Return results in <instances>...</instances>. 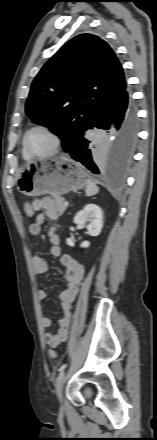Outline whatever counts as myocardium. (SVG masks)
Masks as SVG:
<instances>
[{"mask_svg": "<svg viewBox=\"0 0 157 440\" xmlns=\"http://www.w3.org/2000/svg\"><path fill=\"white\" fill-rule=\"evenodd\" d=\"M35 130H42L44 132H46L53 140V146L51 148V150L46 153V154H40V155H36V154H32L27 146V139L28 136L31 132L35 131ZM23 149L24 151L30 156V157H45V156H50L53 155L55 153H57L59 151V149L61 148L62 145V140H61V136L59 135V133L51 126L46 125V124H36L32 127H30L24 134L23 137Z\"/></svg>", "mask_w": 157, "mask_h": 440, "instance_id": "myocardium-1", "label": "myocardium"}]
</instances>
